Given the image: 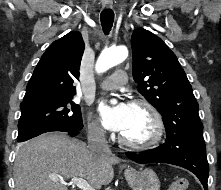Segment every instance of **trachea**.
Returning <instances> with one entry per match:
<instances>
[{"label": "trachea", "mask_w": 221, "mask_h": 190, "mask_svg": "<svg viewBox=\"0 0 221 190\" xmlns=\"http://www.w3.org/2000/svg\"><path fill=\"white\" fill-rule=\"evenodd\" d=\"M100 19L104 33L109 34L114 22V12L111 9H104L101 12Z\"/></svg>", "instance_id": "obj_1"}]
</instances>
